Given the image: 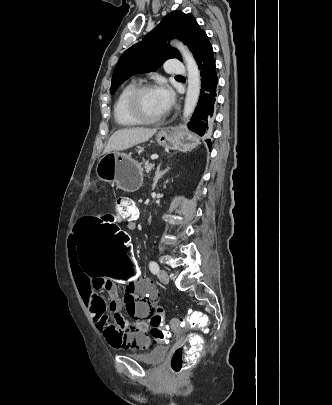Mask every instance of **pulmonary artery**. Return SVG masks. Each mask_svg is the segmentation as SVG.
Masks as SVG:
<instances>
[{
    "label": "pulmonary artery",
    "instance_id": "pulmonary-artery-1",
    "mask_svg": "<svg viewBox=\"0 0 332 405\" xmlns=\"http://www.w3.org/2000/svg\"><path fill=\"white\" fill-rule=\"evenodd\" d=\"M165 70L166 72L177 76H180L185 72L184 66L177 59H169L165 64Z\"/></svg>",
    "mask_w": 332,
    "mask_h": 405
}]
</instances>
